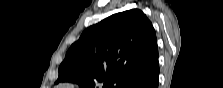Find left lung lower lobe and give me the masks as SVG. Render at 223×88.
<instances>
[{
	"label": "left lung lower lobe",
	"instance_id": "left-lung-lower-lobe-1",
	"mask_svg": "<svg viewBox=\"0 0 223 88\" xmlns=\"http://www.w3.org/2000/svg\"><path fill=\"white\" fill-rule=\"evenodd\" d=\"M158 76L159 64L157 60L127 88H158Z\"/></svg>",
	"mask_w": 223,
	"mask_h": 88
}]
</instances>
